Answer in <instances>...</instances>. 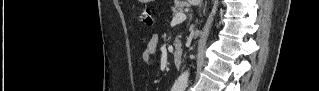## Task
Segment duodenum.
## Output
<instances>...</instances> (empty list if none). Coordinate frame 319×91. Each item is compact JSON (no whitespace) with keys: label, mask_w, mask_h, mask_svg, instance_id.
I'll return each mask as SVG.
<instances>
[{"label":"duodenum","mask_w":319,"mask_h":91,"mask_svg":"<svg viewBox=\"0 0 319 91\" xmlns=\"http://www.w3.org/2000/svg\"><path fill=\"white\" fill-rule=\"evenodd\" d=\"M183 53L180 49H175L173 51V59L177 67H180L182 64Z\"/></svg>","instance_id":"duodenum-1"}]
</instances>
